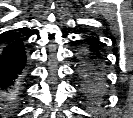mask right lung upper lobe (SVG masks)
Instances as JSON below:
<instances>
[{
  "label": "right lung upper lobe",
  "instance_id": "1",
  "mask_svg": "<svg viewBox=\"0 0 133 118\" xmlns=\"http://www.w3.org/2000/svg\"><path fill=\"white\" fill-rule=\"evenodd\" d=\"M14 40H15V36L10 35L7 40V43L9 44V43L13 42Z\"/></svg>",
  "mask_w": 133,
  "mask_h": 118
}]
</instances>
